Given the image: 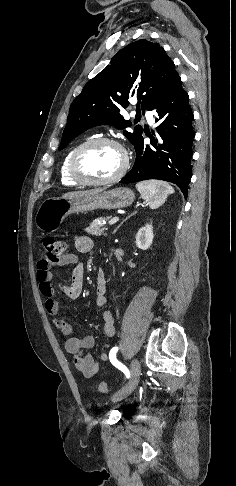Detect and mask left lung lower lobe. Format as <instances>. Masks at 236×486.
<instances>
[{"label": "left lung lower lobe", "instance_id": "left-lung-lower-lobe-1", "mask_svg": "<svg viewBox=\"0 0 236 486\" xmlns=\"http://www.w3.org/2000/svg\"><path fill=\"white\" fill-rule=\"evenodd\" d=\"M148 110L158 114L157 129L163 140L151 138V145H144L141 136L136 142V160L131 171L120 181L134 183L147 179H159L176 184L184 194H188V184L192 176V143L195 132L192 127L193 112L189 96L182 88L181 78L177 77L165 87Z\"/></svg>", "mask_w": 236, "mask_h": 486}]
</instances>
